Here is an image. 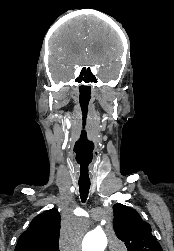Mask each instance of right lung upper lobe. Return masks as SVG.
Instances as JSON below:
<instances>
[{
  "mask_svg": "<svg viewBox=\"0 0 174 251\" xmlns=\"http://www.w3.org/2000/svg\"><path fill=\"white\" fill-rule=\"evenodd\" d=\"M60 221L55 208L39 214L21 234L14 251H59Z\"/></svg>",
  "mask_w": 174,
  "mask_h": 251,
  "instance_id": "1",
  "label": "right lung upper lobe"
}]
</instances>
